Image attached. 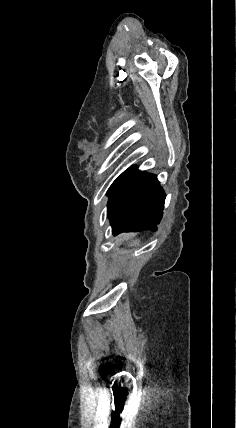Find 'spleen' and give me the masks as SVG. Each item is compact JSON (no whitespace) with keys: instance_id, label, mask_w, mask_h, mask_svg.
Listing matches in <instances>:
<instances>
[{"instance_id":"1","label":"spleen","mask_w":236,"mask_h":428,"mask_svg":"<svg viewBox=\"0 0 236 428\" xmlns=\"http://www.w3.org/2000/svg\"><path fill=\"white\" fill-rule=\"evenodd\" d=\"M133 244H137V240H132L131 246H133Z\"/></svg>"}]
</instances>
